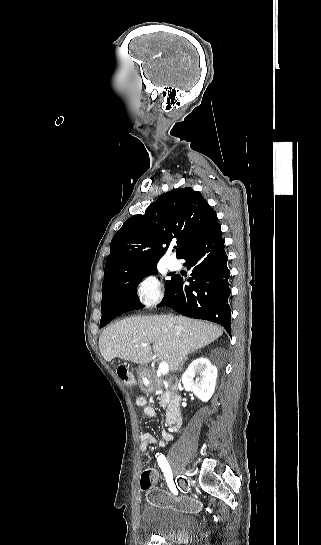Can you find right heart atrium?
Segmentation results:
<instances>
[{"instance_id":"obj_1","label":"right heart atrium","mask_w":321,"mask_h":545,"mask_svg":"<svg viewBox=\"0 0 321 545\" xmlns=\"http://www.w3.org/2000/svg\"><path fill=\"white\" fill-rule=\"evenodd\" d=\"M132 298L143 309H154L163 301L164 293L160 281L151 274L138 277L132 285Z\"/></svg>"}]
</instances>
